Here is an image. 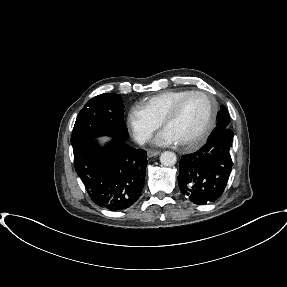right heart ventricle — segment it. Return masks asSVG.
<instances>
[{
    "label": "right heart ventricle",
    "instance_id": "1",
    "mask_svg": "<svg viewBox=\"0 0 287 287\" xmlns=\"http://www.w3.org/2000/svg\"><path fill=\"white\" fill-rule=\"evenodd\" d=\"M191 90H167L151 96L139 104V109L146 113L151 119L161 124L166 113L172 106Z\"/></svg>",
    "mask_w": 287,
    "mask_h": 287
}]
</instances>
